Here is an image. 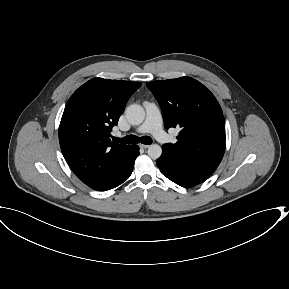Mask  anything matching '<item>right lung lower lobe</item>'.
Listing matches in <instances>:
<instances>
[{"instance_id": "1", "label": "right lung lower lobe", "mask_w": 289, "mask_h": 289, "mask_svg": "<svg viewBox=\"0 0 289 289\" xmlns=\"http://www.w3.org/2000/svg\"><path fill=\"white\" fill-rule=\"evenodd\" d=\"M138 155H139V147L137 145H133L132 148L130 149L127 162L124 168L122 169L121 173L117 177V179L114 182H112L108 187L100 191L110 190L126 181L132 173L134 162Z\"/></svg>"}]
</instances>
